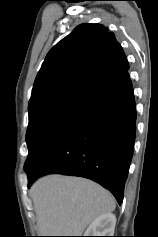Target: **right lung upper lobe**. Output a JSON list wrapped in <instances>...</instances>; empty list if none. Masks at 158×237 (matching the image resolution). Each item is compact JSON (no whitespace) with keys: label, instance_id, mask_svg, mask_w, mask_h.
<instances>
[{"label":"right lung upper lobe","instance_id":"obj_1","mask_svg":"<svg viewBox=\"0 0 158 237\" xmlns=\"http://www.w3.org/2000/svg\"><path fill=\"white\" fill-rule=\"evenodd\" d=\"M129 69L121 45L100 24L79 25L47 54L35 79L29 106L68 96L81 101Z\"/></svg>","mask_w":158,"mask_h":237}]
</instances>
